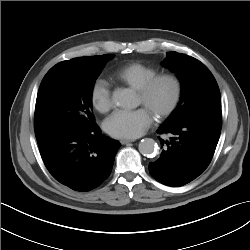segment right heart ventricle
Listing matches in <instances>:
<instances>
[{
  "label": "right heart ventricle",
  "mask_w": 250,
  "mask_h": 250,
  "mask_svg": "<svg viewBox=\"0 0 250 250\" xmlns=\"http://www.w3.org/2000/svg\"><path fill=\"white\" fill-rule=\"evenodd\" d=\"M156 74L158 70L155 67L141 62H132L118 68L113 78L137 90Z\"/></svg>",
  "instance_id": "1"
}]
</instances>
